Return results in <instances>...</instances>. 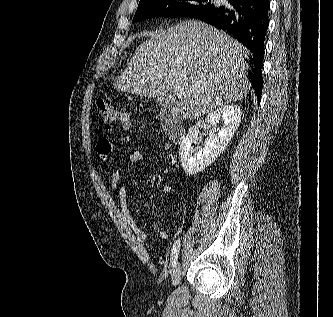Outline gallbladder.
Returning <instances> with one entry per match:
<instances>
[{
  "label": "gallbladder",
  "instance_id": "gallbladder-1",
  "mask_svg": "<svg viewBox=\"0 0 333 317\" xmlns=\"http://www.w3.org/2000/svg\"><path fill=\"white\" fill-rule=\"evenodd\" d=\"M156 102L163 108H169L172 105V98L170 96H160Z\"/></svg>",
  "mask_w": 333,
  "mask_h": 317
}]
</instances>
